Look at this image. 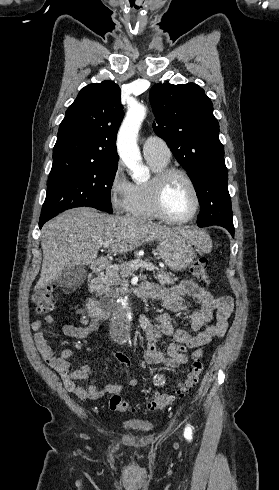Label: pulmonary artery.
<instances>
[{
  "label": "pulmonary artery",
  "mask_w": 279,
  "mask_h": 490,
  "mask_svg": "<svg viewBox=\"0 0 279 490\" xmlns=\"http://www.w3.org/2000/svg\"><path fill=\"white\" fill-rule=\"evenodd\" d=\"M143 154L146 159H155L161 162H167L171 157V151L166 141L156 134H151L145 139Z\"/></svg>",
  "instance_id": "e3ab8cb5"
}]
</instances>
